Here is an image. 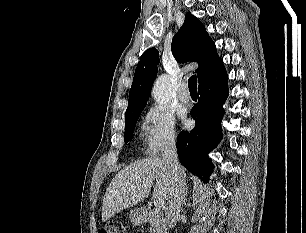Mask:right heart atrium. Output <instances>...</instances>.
<instances>
[{"label": "right heart atrium", "instance_id": "1", "mask_svg": "<svg viewBox=\"0 0 306 233\" xmlns=\"http://www.w3.org/2000/svg\"><path fill=\"white\" fill-rule=\"evenodd\" d=\"M144 144L151 156H156L172 147L177 140L174 115L157 106L145 113L142 122Z\"/></svg>", "mask_w": 306, "mask_h": 233}]
</instances>
